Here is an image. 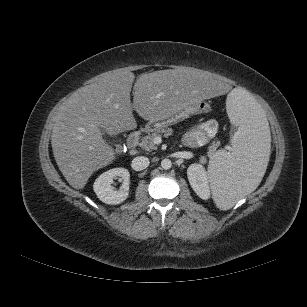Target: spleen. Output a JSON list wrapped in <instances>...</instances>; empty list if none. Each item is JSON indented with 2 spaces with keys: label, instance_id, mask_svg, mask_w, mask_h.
<instances>
[{
  "label": "spleen",
  "instance_id": "3e777b00",
  "mask_svg": "<svg viewBox=\"0 0 307 307\" xmlns=\"http://www.w3.org/2000/svg\"><path fill=\"white\" fill-rule=\"evenodd\" d=\"M226 109L238 131L233 151L219 152L209 163L208 178L216 206L232 208L260 182L272 147L273 134L258 102L247 92L229 93Z\"/></svg>",
  "mask_w": 307,
  "mask_h": 307
}]
</instances>
